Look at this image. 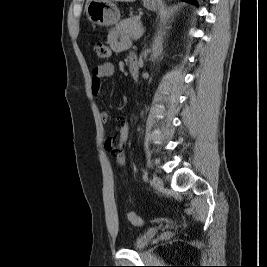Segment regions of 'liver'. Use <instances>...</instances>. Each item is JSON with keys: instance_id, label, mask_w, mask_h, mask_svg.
Segmentation results:
<instances>
[{"instance_id": "liver-1", "label": "liver", "mask_w": 267, "mask_h": 267, "mask_svg": "<svg viewBox=\"0 0 267 267\" xmlns=\"http://www.w3.org/2000/svg\"><path fill=\"white\" fill-rule=\"evenodd\" d=\"M88 2L91 1V0H87ZM114 1H117V2H135L136 0H114Z\"/></svg>"}]
</instances>
